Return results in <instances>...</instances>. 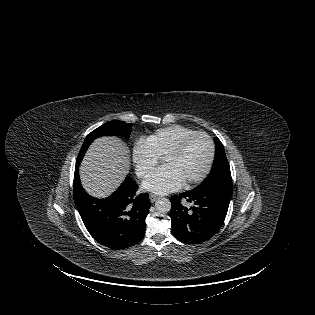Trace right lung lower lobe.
Instances as JSON below:
<instances>
[{"mask_svg": "<svg viewBox=\"0 0 315 315\" xmlns=\"http://www.w3.org/2000/svg\"><path fill=\"white\" fill-rule=\"evenodd\" d=\"M137 188V184L127 176L108 198H93L83 189L79 166L76 165L74 202L85 227L100 244L120 250L137 244L144 237L145 218L151 203L147 193L136 195Z\"/></svg>", "mask_w": 315, "mask_h": 315, "instance_id": "right-lung-lower-lobe-1", "label": "right lung lower lobe"}]
</instances>
